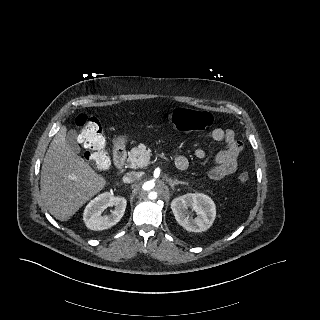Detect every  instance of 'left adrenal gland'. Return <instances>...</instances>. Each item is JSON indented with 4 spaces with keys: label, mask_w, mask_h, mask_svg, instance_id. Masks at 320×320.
I'll return each instance as SVG.
<instances>
[{
    "label": "left adrenal gland",
    "mask_w": 320,
    "mask_h": 320,
    "mask_svg": "<svg viewBox=\"0 0 320 320\" xmlns=\"http://www.w3.org/2000/svg\"><path fill=\"white\" fill-rule=\"evenodd\" d=\"M169 184L171 185V187L173 188L175 185H177V184H184V185H188V183L187 182H184V181H179V180H177V179H175V180H169Z\"/></svg>",
    "instance_id": "obj_1"
}]
</instances>
